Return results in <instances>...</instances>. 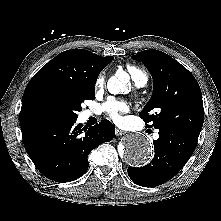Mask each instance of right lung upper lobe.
Returning <instances> with one entry per match:
<instances>
[{"label": "right lung upper lobe", "mask_w": 221, "mask_h": 221, "mask_svg": "<svg viewBox=\"0 0 221 221\" xmlns=\"http://www.w3.org/2000/svg\"><path fill=\"white\" fill-rule=\"evenodd\" d=\"M113 60L84 49L58 54L44 65L29 81L22 98L20 124L34 119L31 105L46 92L69 91L95 86L99 73Z\"/></svg>", "instance_id": "1"}]
</instances>
